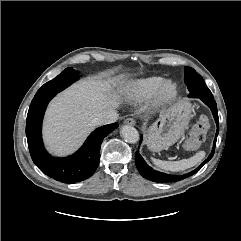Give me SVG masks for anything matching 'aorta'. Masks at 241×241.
Listing matches in <instances>:
<instances>
[{"label": "aorta", "instance_id": "obj_1", "mask_svg": "<svg viewBox=\"0 0 241 241\" xmlns=\"http://www.w3.org/2000/svg\"><path fill=\"white\" fill-rule=\"evenodd\" d=\"M123 138L129 143H137L139 141V133L133 126L125 125L120 131Z\"/></svg>", "mask_w": 241, "mask_h": 241}]
</instances>
